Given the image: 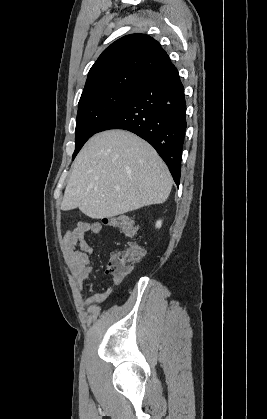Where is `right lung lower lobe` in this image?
<instances>
[{
	"label": "right lung lower lobe",
	"mask_w": 267,
	"mask_h": 419,
	"mask_svg": "<svg viewBox=\"0 0 267 419\" xmlns=\"http://www.w3.org/2000/svg\"><path fill=\"white\" fill-rule=\"evenodd\" d=\"M186 127L184 87L171 64L141 84L98 132L124 129L148 141L165 161L178 186Z\"/></svg>",
	"instance_id": "right-lung-lower-lobe-1"
}]
</instances>
